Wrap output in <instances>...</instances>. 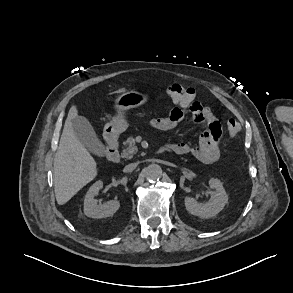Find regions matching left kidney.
Wrapping results in <instances>:
<instances>
[{"label":"left kidney","instance_id":"5707ae66","mask_svg":"<svg viewBox=\"0 0 293 293\" xmlns=\"http://www.w3.org/2000/svg\"><path fill=\"white\" fill-rule=\"evenodd\" d=\"M210 188L214 189L211 200L208 203H198L192 197H185L186 210L200 218H211L222 211L228 202V195L219 179L211 178L209 180Z\"/></svg>","mask_w":293,"mask_h":293}]
</instances>
